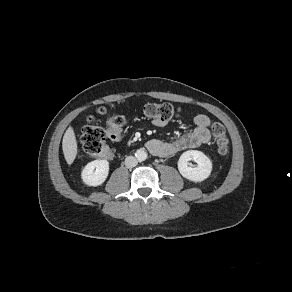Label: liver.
<instances>
[{
    "instance_id": "liver-1",
    "label": "liver",
    "mask_w": 292,
    "mask_h": 292,
    "mask_svg": "<svg viewBox=\"0 0 292 292\" xmlns=\"http://www.w3.org/2000/svg\"><path fill=\"white\" fill-rule=\"evenodd\" d=\"M62 148L65 160L68 165H71L76 158L77 155V142L73 128L70 126L66 130L63 141Z\"/></svg>"
}]
</instances>
